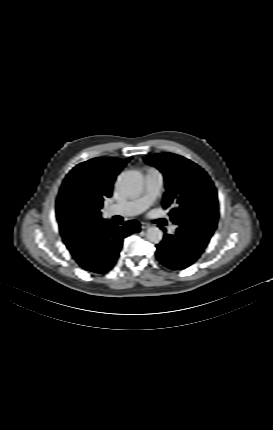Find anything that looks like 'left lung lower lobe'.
Here are the masks:
<instances>
[{
	"instance_id": "left-lung-lower-lobe-1",
	"label": "left lung lower lobe",
	"mask_w": 273,
	"mask_h": 430,
	"mask_svg": "<svg viewBox=\"0 0 273 430\" xmlns=\"http://www.w3.org/2000/svg\"><path fill=\"white\" fill-rule=\"evenodd\" d=\"M156 248L158 260L173 270L190 266L204 251V248L179 230L174 235L165 234L162 242L157 244Z\"/></svg>"
}]
</instances>
